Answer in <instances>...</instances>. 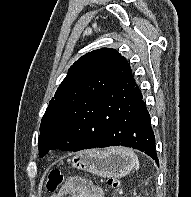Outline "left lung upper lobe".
<instances>
[{"instance_id":"5c2ea615","label":"left lung upper lobe","mask_w":191,"mask_h":197,"mask_svg":"<svg viewBox=\"0 0 191 197\" xmlns=\"http://www.w3.org/2000/svg\"><path fill=\"white\" fill-rule=\"evenodd\" d=\"M127 60L110 48H101L79 58L69 69L41 120L39 156L52 149L70 150L64 129L80 112L88 109L102 92L132 79Z\"/></svg>"}]
</instances>
